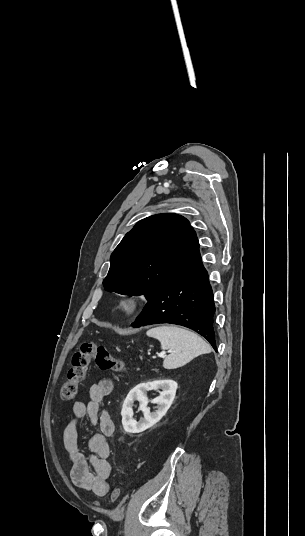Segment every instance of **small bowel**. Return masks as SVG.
Returning <instances> with one entry per match:
<instances>
[{"mask_svg": "<svg viewBox=\"0 0 305 536\" xmlns=\"http://www.w3.org/2000/svg\"><path fill=\"white\" fill-rule=\"evenodd\" d=\"M115 390L114 381L104 377L89 389L87 402L77 401L72 406L73 418L63 430V443L72 463L71 480L74 485L103 497L109 491L111 464L108 461L110 446L107 437L114 432V424L106 411H101L102 400ZM88 417L93 424H99V431L89 438L91 451L85 456L78 445V421Z\"/></svg>", "mask_w": 305, "mask_h": 536, "instance_id": "obj_1", "label": "small bowel"}]
</instances>
